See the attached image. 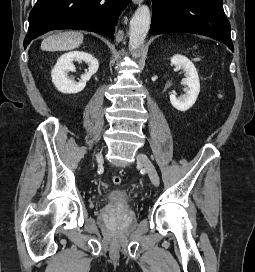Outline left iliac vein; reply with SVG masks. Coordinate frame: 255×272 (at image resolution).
<instances>
[{
    "label": "left iliac vein",
    "mask_w": 255,
    "mask_h": 272,
    "mask_svg": "<svg viewBox=\"0 0 255 272\" xmlns=\"http://www.w3.org/2000/svg\"><path fill=\"white\" fill-rule=\"evenodd\" d=\"M137 162H138V164H140L141 166L144 167L151 182L155 186H158L159 185V176H158V173H157L153 163L149 159V157L144 153H139L137 155Z\"/></svg>",
    "instance_id": "1"
}]
</instances>
